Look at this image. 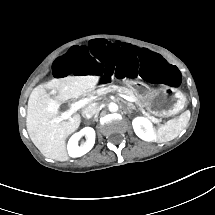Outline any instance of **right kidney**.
<instances>
[{
	"mask_svg": "<svg viewBox=\"0 0 215 215\" xmlns=\"http://www.w3.org/2000/svg\"><path fill=\"white\" fill-rule=\"evenodd\" d=\"M82 135L87 136V141L83 146H78V141ZM95 143V130L91 127H85L80 132L72 135L68 141V154L72 158L81 157L89 152Z\"/></svg>",
	"mask_w": 215,
	"mask_h": 215,
	"instance_id": "right-kidney-1",
	"label": "right kidney"
}]
</instances>
